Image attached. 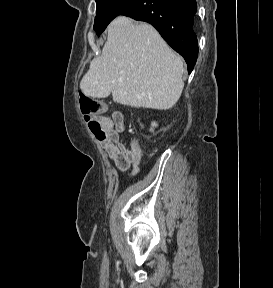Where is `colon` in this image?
Wrapping results in <instances>:
<instances>
[{"mask_svg":"<svg viewBox=\"0 0 273 288\" xmlns=\"http://www.w3.org/2000/svg\"><path fill=\"white\" fill-rule=\"evenodd\" d=\"M80 108L89 129L97 138L105 137L99 118L106 112V104L97 98L81 95Z\"/></svg>","mask_w":273,"mask_h":288,"instance_id":"5ec220e1","label":"colon"}]
</instances>
